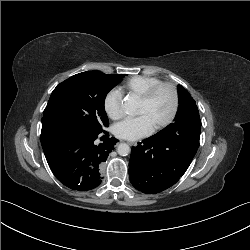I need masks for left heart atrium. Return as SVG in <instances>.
<instances>
[{
    "mask_svg": "<svg viewBox=\"0 0 250 250\" xmlns=\"http://www.w3.org/2000/svg\"><path fill=\"white\" fill-rule=\"evenodd\" d=\"M153 125L145 115L135 118H127L118 122L113 127L116 137L126 140H137L149 135L153 131Z\"/></svg>",
    "mask_w": 250,
    "mask_h": 250,
    "instance_id": "1",
    "label": "left heart atrium"
}]
</instances>
